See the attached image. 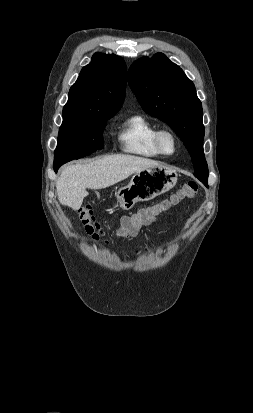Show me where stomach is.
<instances>
[{
  "mask_svg": "<svg viewBox=\"0 0 253 413\" xmlns=\"http://www.w3.org/2000/svg\"><path fill=\"white\" fill-rule=\"evenodd\" d=\"M177 182V173L167 167L147 168L136 172L129 184L117 192L123 209H130L138 201H149L169 191Z\"/></svg>",
  "mask_w": 253,
  "mask_h": 413,
  "instance_id": "0dacf381",
  "label": "stomach"
}]
</instances>
